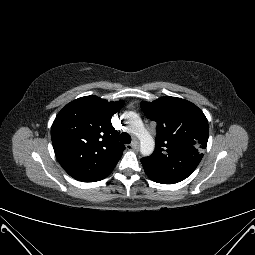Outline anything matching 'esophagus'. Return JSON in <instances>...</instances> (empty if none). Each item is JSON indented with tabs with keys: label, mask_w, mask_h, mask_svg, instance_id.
I'll list each match as a JSON object with an SVG mask.
<instances>
[{
	"label": "esophagus",
	"mask_w": 255,
	"mask_h": 255,
	"mask_svg": "<svg viewBox=\"0 0 255 255\" xmlns=\"http://www.w3.org/2000/svg\"><path fill=\"white\" fill-rule=\"evenodd\" d=\"M126 148L130 151H137L138 150V143L136 141H134L133 143L131 144H128L126 146Z\"/></svg>",
	"instance_id": "obj_1"
}]
</instances>
